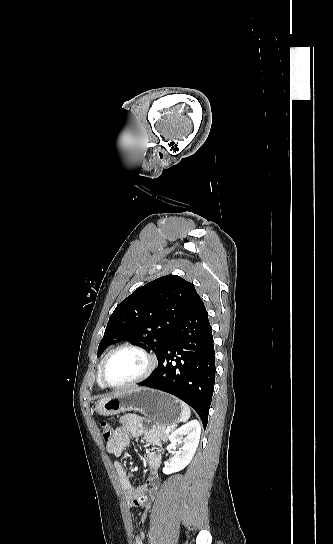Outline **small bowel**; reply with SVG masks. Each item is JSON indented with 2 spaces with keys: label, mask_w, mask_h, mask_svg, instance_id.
<instances>
[{
  "label": "small bowel",
  "mask_w": 333,
  "mask_h": 544,
  "mask_svg": "<svg viewBox=\"0 0 333 544\" xmlns=\"http://www.w3.org/2000/svg\"><path fill=\"white\" fill-rule=\"evenodd\" d=\"M149 421L137 415H125L120 419V426L115 430L112 438L107 442V450L114 460V467L120 482V486L127 498L129 507L142 509L141 520L147 519L155 494L160 488L159 466L161 456L159 451H151L145 459L149 468V477L146 484L134 489L129 473L120 463L119 458L128 445L130 437L143 436L146 442L152 446L159 445V438L154 429L147 428ZM144 534L139 533L134 537V544H143Z\"/></svg>",
  "instance_id": "obj_1"
}]
</instances>
